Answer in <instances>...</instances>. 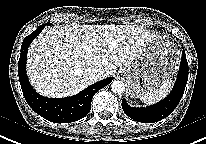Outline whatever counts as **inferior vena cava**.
Returning <instances> with one entry per match:
<instances>
[{
	"mask_svg": "<svg viewBox=\"0 0 206 144\" xmlns=\"http://www.w3.org/2000/svg\"><path fill=\"white\" fill-rule=\"evenodd\" d=\"M102 72V69L97 66L90 67L86 70L89 78L93 81L100 80L102 78Z\"/></svg>",
	"mask_w": 206,
	"mask_h": 144,
	"instance_id": "obj_1",
	"label": "inferior vena cava"
}]
</instances>
